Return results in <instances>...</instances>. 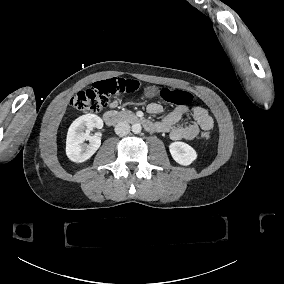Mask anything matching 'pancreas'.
<instances>
[{
  "mask_svg": "<svg viewBox=\"0 0 284 284\" xmlns=\"http://www.w3.org/2000/svg\"><path fill=\"white\" fill-rule=\"evenodd\" d=\"M117 115L122 120H128V119L135 118V114L132 111H129V110H127V111H119V112H117Z\"/></svg>",
  "mask_w": 284,
  "mask_h": 284,
  "instance_id": "1",
  "label": "pancreas"
}]
</instances>
